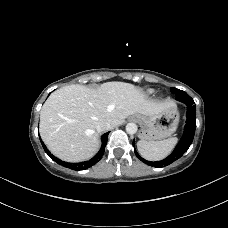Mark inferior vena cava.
<instances>
[{
	"label": "inferior vena cava",
	"mask_w": 228,
	"mask_h": 228,
	"mask_svg": "<svg viewBox=\"0 0 228 228\" xmlns=\"http://www.w3.org/2000/svg\"><path fill=\"white\" fill-rule=\"evenodd\" d=\"M112 128L111 124L109 122H102L97 126V131L102 132V131H107Z\"/></svg>",
	"instance_id": "obj_1"
}]
</instances>
